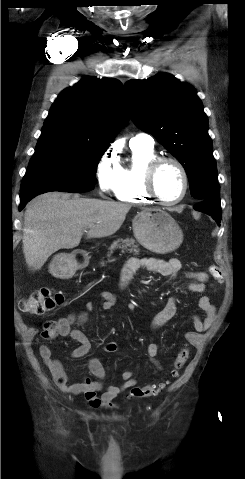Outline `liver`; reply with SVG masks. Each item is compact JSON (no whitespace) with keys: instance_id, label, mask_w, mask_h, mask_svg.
Returning <instances> with one entry per match:
<instances>
[{"instance_id":"6515ba94","label":"liver","mask_w":245,"mask_h":479,"mask_svg":"<svg viewBox=\"0 0 245 479\" xmlns=\"http://www.w3.org/2000/svg\"><path fill=\"white\" fill-rule=\"evenodd\" d=\"M131 205L68 194L46 193L33 199L24 214L23 253L29 268L39 270L60 249L79 245L87 238L113 235L123 224Z\"/></svg>"}]
</instances>
